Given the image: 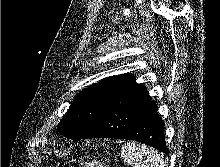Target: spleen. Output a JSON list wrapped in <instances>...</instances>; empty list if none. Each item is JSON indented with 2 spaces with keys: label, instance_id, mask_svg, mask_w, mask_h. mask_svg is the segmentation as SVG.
<instances>
[{
  "label": "spleen",
  "instance_id": "spleen-1",
  "mask_svg": "<svg viewBox=\"0 0 220 167\" xmlns=\"http://www.w3.org/2000/svg\"><path fill=\"white\" fill-rule=\"evenodd\" d=\"M121 157L132 167H165L161 154L135 142H128L122 147Z\"/></svg>",
  "mask_w": 220,
  "mask_h": 167
}]
</instances>
